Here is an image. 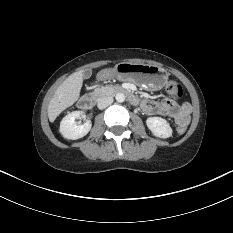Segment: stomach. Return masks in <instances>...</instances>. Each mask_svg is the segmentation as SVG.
Listing matches in <instances>:
<instances>
[{
	"label": "stomach",
	"mask_w": 233,
	"mask_h": 233,
	"mask_svg": "<svg viewBox=\"0 0 233 233\" xmlns=\"http://www.w3.org/2000/svg\"><path fill=\"white\" fill-rule=\"evenodd\" d=\"M118 78L129 80L152 90H160L168 80L166 71L158 66L140 63L121 62L97 74L98 80Z\"/></svg>",
	"instance_id": "1"
}]
</instances>
